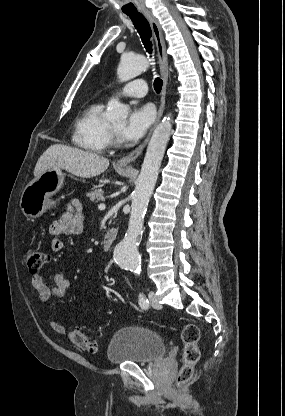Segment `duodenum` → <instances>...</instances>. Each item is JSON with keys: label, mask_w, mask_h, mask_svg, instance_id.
I'll return each mask as SVG.
<instances>
[{"label": "duodenum", "mask_w": 285, "mask_h": 416, "mask_svg": "<svg viewBox=\"0 0 285 416\" xmlns=\"http://www.w3.org/2000/svg\"><path fill=\"white\" fill-rule=\"evenodd\" d=\"M116 237H117L116 229L110 228L106 231V233L103 236V241H102V248L105 252L110 251Z\"/></svg>", "instance_id": "1"}]
</instances>
